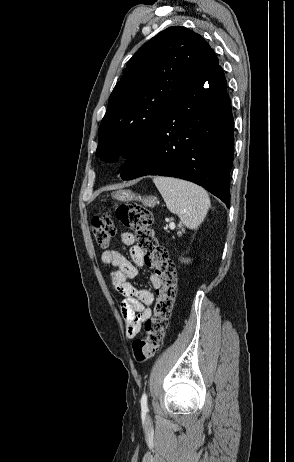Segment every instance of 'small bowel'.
<instances>
[{"label":"small bowel","instance_id":"c3829d8e","mask_svg":"<svg viewBox=\"0 0 294 462\" xmlns=\"http://www.w3.org/2000/svg\"><path fill=\"white\" fill-rule=\"evenodd\" d=\"M135 237L130 232L120 234V243L130 248L132 261L115 250H106L101 254L104 264L111 265L114 270L110 274L113 291L122 296L120 311L125 322L126 337L132 339L142 331L143 323L152 315V305L155 300L154 291L137 289L130 280L135 278L138 267L143 265V253L134 245ZM150 283L154 290L160 286V280L155 274L150 275Z\"/></svg>","mask_w":294,"mask_h":462}]
</instances>
